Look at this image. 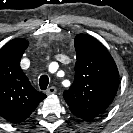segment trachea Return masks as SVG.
<instances>
[{"mask_svg":"<svg viewBox=\"0 0 133 133\" xmlns=\"http://www.w3.org/2000/svg\"><path fill=\"white\" fill-rule=\"evenodd\" d=\"M49 84V78L47 75H42L39 79V86L41 90H45Z\"/></svg>","mask_w":133,"mask_h":133,"instance_id":"obj_1","label":"trachea"}]
</instances>
